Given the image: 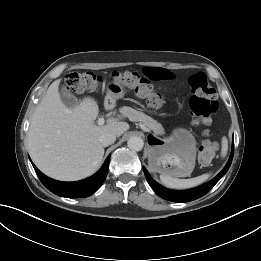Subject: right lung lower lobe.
I'll return each mask as SVG.
<instances>
[{
  "mask_svg": "<svg viewBox=\"0 0 261 261\" xmlns=\"http://www.w3.org/2000/svg\"><path fill=\"white\" fill-rule=\"evenodd\" d=\"M109 158L110 156L95 175L76 182L56 181L40 172L33 163L32 165L43 185L54 194L67 198H83L95 193L103 184L108 173Z\"/></svg>",
  "mask_w": 261,
  "mask_h": 261,
  "instance_id": "right-lung-lower-lobe-1",
  "label": "right lung lower lobe"
}]
</instances>
